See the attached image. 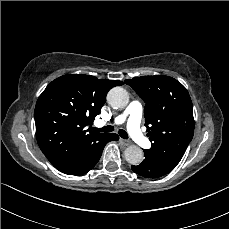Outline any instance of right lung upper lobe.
Wrapping results in <instances>:
<instances>
[{
    "label": "right lung upper lobe",
    "instance_id": "1",
    "mask_svg": "<svg viewBox=\"0 0 229 229\" xmlns=\"http://www.w3.org/2000/svg\"><path fill=\"white\" fill-rule=\"evenodd\" d=\"M119 80L68 74L53 80L35 106L36 138L50 163L63 171L103 135L85 127L92 125Z\"/></svg>",
    "mask_w": 229,
    "mask_h": 229
}]
</instances>
